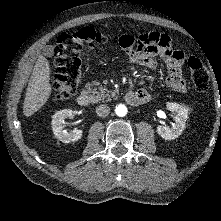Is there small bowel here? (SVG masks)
<instances>
[{
	"label": "small bowel",
	"instance_id": "small-bowel-1",
	"mask_svg": "<svg viewBox=\"0 0 221 221\" xmlns=\"http://www.w3.org/2000/svg\"><path fill=\"white\" fill-rule=\"evenodd\" d=\"M119 44L130 62L144 67L156 68V57H160L169 69V76L165 79L166 85L180 93L187 91L181 69L184 54L180 50L173 49L171 38L167 34L149 32L140 35L138 39L131 35H122ZM138 92L147 101L150 99L147 90L140 89Z\"/></svg>",
	"mask_w": 221,
	"mask_h": 221
}]
</instances>
